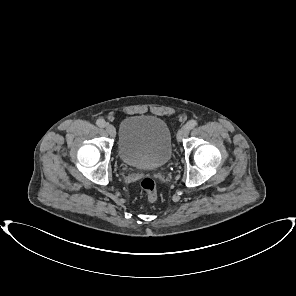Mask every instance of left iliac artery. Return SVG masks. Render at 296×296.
<instances>
[{
  "mask_svg": "<svg viewBox=\"0 0 296 296\" xmlns=\"http://www.w3.org/2000/svg\"><path fill=\"white\" fill-rule=\"evenodd\" d=\"M186 125H187V127L189 129H193L195 126H197V121L196 120H190Z\"/></svg>",
  "mask_w": 296,
  "mask_h": 296,
  "instance_id": "obj_1",
  "label": "left iliac artery"
}]
</instances>
